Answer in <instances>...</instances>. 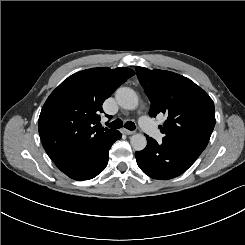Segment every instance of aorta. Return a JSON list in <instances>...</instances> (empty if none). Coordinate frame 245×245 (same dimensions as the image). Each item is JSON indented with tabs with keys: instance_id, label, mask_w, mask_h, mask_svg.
<instances>
[{
	"instance_id": "aorta-1",
	"label": "aorta",
	"mask_w": 245,
	"mask_h": 245,
	"mask_svg": "<svg viewBox=\"0 0 245 245\" xmlns=\"http://www.w3.org/2000/svg\"><path fill=\"white\" fill-rule=\"evenodd\" d=\"M116 101L127 110H134L138 107V96L136 92L129 87H121L116 91ZM131 146L136 151L143 150L147 145L146 137L143 134H134L130 138Z\"/></svg>"
}]
</instances>
